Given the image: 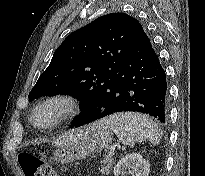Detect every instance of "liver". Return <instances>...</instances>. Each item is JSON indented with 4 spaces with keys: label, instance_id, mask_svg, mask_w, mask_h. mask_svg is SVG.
Listing matches in <instances>:
<instances>
[{
    "label": "liver",
    "instance_id": "liver-1",
    "mask_svg": "<svg viewBox=\"0 0 205 176\" xmlns=\"http://www.w3.org/2000/svg\"><path fill=\"white\" fill-rule=\"evenodd\" d=\"M87 129L88 127L86 126L80 129L69 131L68 133L62 135L59 139H57V141H55V144L60 147L71 145L82 139V137L86 134Z\"/></svg>",
    "mask_w": 205,
    "mask_h": 176
}]
</instances>
